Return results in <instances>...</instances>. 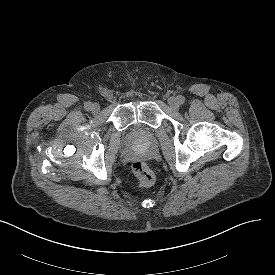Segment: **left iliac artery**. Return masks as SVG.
<instances>
[{
  "mask_svg": "<svg viewBox=\"0 0 275 275\" xmlns=\"http://www.w3.org/2000/svg\"><path fill=\"white\" fill-rule=\"evenodd\" d=\"M177 99H178V101H179L180 104H183V103L185 102V97L182 96V95H179V96L177 97Z\"/></svg>",
  "mask_w": 275,
  "mask_h": 275,
  "instance_id": "left-iliac-artery-1",
  "label": "left iliac artery"
}]
</instances>
